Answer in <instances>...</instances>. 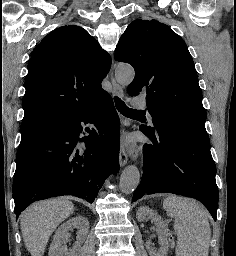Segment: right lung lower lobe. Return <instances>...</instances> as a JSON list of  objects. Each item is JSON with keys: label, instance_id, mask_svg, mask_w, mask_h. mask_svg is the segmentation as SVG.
<instances>
[{"label": "right lung lower lobe", "instance_id": "1", "mask_svg": "<svg viewBox=\"0 0 236 256\" xmlns=\"http://www.w3.org/2000/svg\"><path fill=\"white\" fill-rule=\"evenodd\" d=\"M81 122L94 124L83 138ZM119 140V118L108 95L22 141L13 180L16 218L50 197L74 195L92 203L105 179L119 170Z\"/></svg>", "mask_w": 236, "mask_h": 256}]
</instances>
